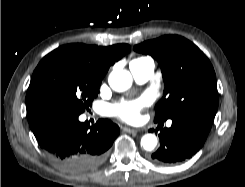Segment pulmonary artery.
Here are the masks:
<instances>
[{
	"instance_id": "pulmonary-artery-1",
	"label": "pulmonary artery",
	"mask_w": 245,
	"mask_h": 187,
	"mask_svg": "<svg viewBox=\"0 0 245 187\" xmlns=\"http://www.w3.org/2000/svg\"><path fill=\"white\" fill-rule=\"evenodd\" d=\"M130 71L137 83H145L154 75V62L152 59L146 58L140 62L131 63Z\"/></svg>"
}]
</instances>
